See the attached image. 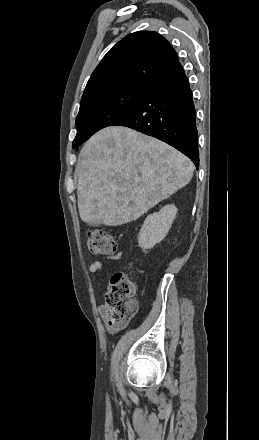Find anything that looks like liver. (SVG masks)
Listing matches in <instances>:
<instances>
[{"label": "liver", "instance_id": "1", "mask_svg": "<svg viewBox=\"0 0 259 440\" xmlns=\"http://www.w3.org/2000/svg\"><path fill=\"white\" fill-rule=\"evenodd\" d=\"M84 222L118 226L138 219L192 179V161L128 127L110 126L83 146L76 168Z\"/></svg>", "mask_w": 259, "mask_h": 440}]
</instances>
